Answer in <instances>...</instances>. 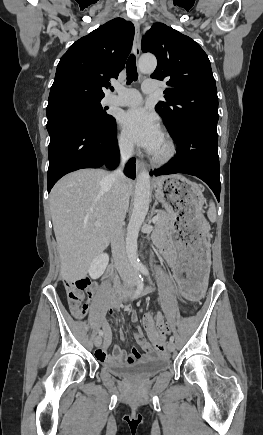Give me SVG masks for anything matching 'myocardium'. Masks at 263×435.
Masks as SVG:
<instances>
[{
	"instance_id": "myocardium-1",
	"label": "myocardium",
	"mask_w": 263,
	"mask_h": 435,
	"mask_svg": "<svg viewBox=\"0 0 263 435\" xmlns=\"http://www.w3.org/2000/svg\"><path fill=\"white\" fill-rule=\"evenodd\" d=\"M164 142L166 144V151L163 154H156V153H152L151 154V160L155 165H164L169 163L171 160H173L177 154V147L176 144L174 142V140L169 137L166 136L164 137Z\"/></svg>"
}]
</instances>
